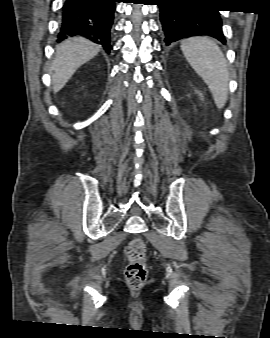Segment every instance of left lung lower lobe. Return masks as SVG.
I'll list each match as a JSON object with an SVG mask.
<instances>
[{"label":"left lung lower lobe","instance_id":"0a47b994","mask_svg":"<svg viewBox=\"0 0 270 338\" xmlns=\"http://www.w3.org/2000/svg\"><path fill=\"white\" fill-rule=\"evenodd\" d=\"M166 45L180 39L207 35L226 42L219 9L212 0H157Z\"/></svg>","mask_w":270,"mask_h":338}]
</instances>
